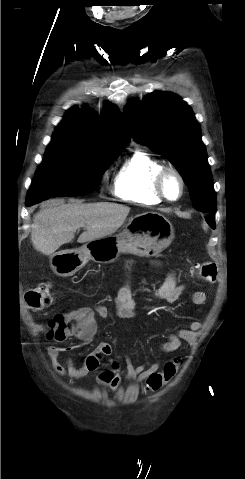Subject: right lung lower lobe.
<instances>
[{
  "label": "right lung lower lobe",
  "instance_id": "1",
  "mask_svg": "<svg viewBox=\"0 0 245 479\" xmlns=\"http://www.w3.org/2000/svg\"><path fill=\"white\" fill-rule=\"evenodd\" d=\"M33 204H35V203H33V202L26 203V205H27L28 207H30V206L33 205Z\"/></svg>",
  "mask_w": 245,
  "mask_h": 479
}]
</instances>
